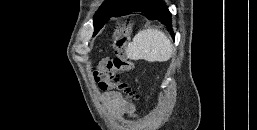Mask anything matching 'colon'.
Wrapping results in <instances>:
<instances>
[{
    "mask_svg": "<svg viewBox=\"0 0 257 130\" xmlns=\"http://www.w3.org/2000/svg\"><path fill=\"white\" fill-rule=\"evenodd\" d=\"M131 29L128 25L118 28L112 42V57L103 59L94 71V78L103 91L119 90L127 100H137L138 95L120 79V74L131 71L133 62L128 56Z\"/></svg>",
    "mask_w": 257,
    "mask_h": 130,
    "instance_id": "5ec220e1",
    "label": "colon"
}]
</instances>
